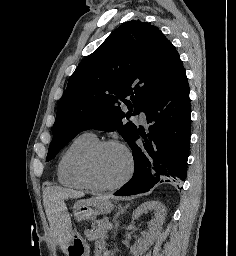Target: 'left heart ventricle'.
I'll list each match as a JSON object with an SVG mask.
<instances>
[{"label":"left heart ventricle","mask_w":236,"mask_h":256,"mask_svg":"<svg viewBox=\"0 0 236 256\" xmlns=\"http://www.w3.org/2000/svg\"><path fill=\"white\" fill-rule=\"evenodd\" d=\"M127 170V158L117 147H108L95 156L91 166L94 182L103 187L118 183Z\"/></svg>","instance_id":"left-heart-ventricle-1"}]
</instances>
